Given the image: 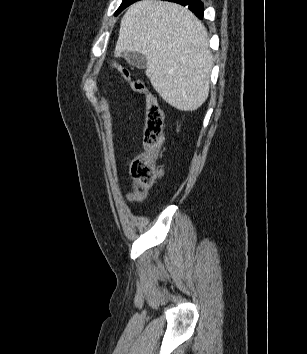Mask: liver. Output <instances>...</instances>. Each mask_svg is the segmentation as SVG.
I'll return each mask as SVG.
<instances>
[{"mask_svg":"<svg viewBox=\"0 0 307 354\" xmlns=\"http://www.w3.org/2000/svg\"><path fill=\"white\" fill-rule=\"evenodd\" d=\"M140 52L160 97L181 111L207 99L213 56L202 22L186 7L160 0L132 4L121 19L114 56Z\"/></svg>","mask_w":307,"mask_h":354,"instance_id":"obj_1","label":"liver"}]
</instances>
